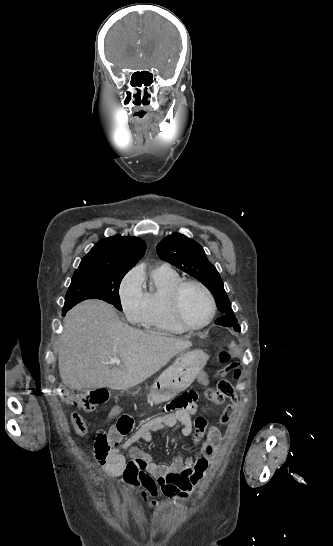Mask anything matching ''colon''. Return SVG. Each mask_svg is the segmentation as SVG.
Returning a JSON list of instances; mask_svg holds the SVG:
<instances>
[{
  "mask_svg": "<svg viewBox=\"0 0 333 546\" xmlns=\"http://www.w3.org/2000/svg\"><path fill=\"white\" fill-rule=\"evenodd\" d=\"M235 349V345L232 342L223 343L219 350V363L223 364L221 373L223 375H233L232 384H241L242 373V360L234 359L230 362L232 353ZM232 384L225 378H221L218 381L217 389L211 394V399L216 405H222L226 400L231 403L237 402L236 392ZM108 399V395L105 391L96 390L81 394H74L72 396H65V400L68 404L80 408L84 411H93L97 406L104 404ZM195 403L194 393H184L177 397L169 406L174 408L187 407L193 408ZM70 420L76 433L83 436L87 433V426L78 413H72ZM207 420L204 416L199 415L195 420V440L201 441L207 433ZM130 432V423L128 420L119 418L115 425L108 432L100 431L94 442V453L98 460L105 459L113 446L117 445L120 437L125 436Z\"/></svg>",
  "mask_w": 333,
  "mask_h": 546,
  "instance_id": "obj_1",
  "label": "colon"
}]
</instances>
